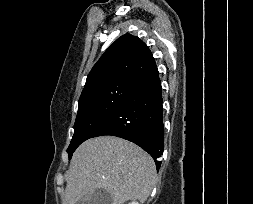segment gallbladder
I'll list each match as a JSON object with an SVG mask.
<instances>
[{
  "mask_svg": "<svg viewBox=\"0 0 253 204\" xmlns=\"http://www.w3.org/2000/svg\"><path fill=\"white\" fill-rule=\"evenodd\" d=\"M112 197L105 189L96 190L89 199H80L77 204H113Z\"/></svg>",
  "mask_w": 253,
  "mask_h": 204,
  "instance_id": "obj_1",
  "label": "gallbladder"
}]
</instances>
